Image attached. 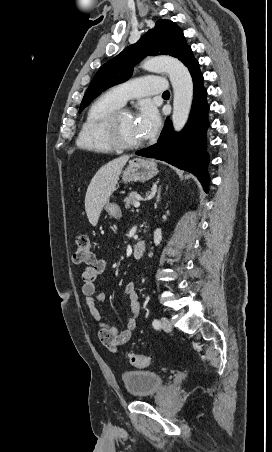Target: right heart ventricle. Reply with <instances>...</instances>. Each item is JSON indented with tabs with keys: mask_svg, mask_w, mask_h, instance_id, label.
Instances as JSON below:
<instances>
[{
	"mask_svg": "<svg viewBox=\"0 0 272 452\" xmlns=\"http://www.w3.org/2000/svg\"><path fill=\"white\" fill-rule=\"evenodd\" d=\"M122 107L110 93L96 98L89 106L81 124L76 144L79 148L97 153H109L115 148L107 141L103 123L115 109Z\"/></svg>",
	"mask_w": 272,
	"mask_h": 452,
	"instance_id": "obj_1",
	"label": "right heart ventricle"
}]
</instances>
